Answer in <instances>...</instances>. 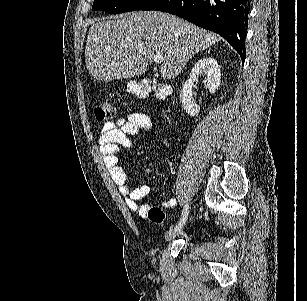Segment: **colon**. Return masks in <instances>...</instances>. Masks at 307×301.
<instances>
[{"mask_svg":"<svg viewBox=\"0 0 307 301\" xmlns=\"http://www.w3.org/2000/svg\"><path fill=\"white\" fill-rule=\"evenodd\" d=\"M126 89L137 100H143L150 92H154L158 98H166L170 95V88L158 80H140L127 84ZM115 114L113 103L109 99L103 100L95 108V116L98 121H107ZM148 219L156 224L163 223L167 216L159 207H150L147 211Z\"/></svg>","mask_w":307,"mask_h":301,"instance_id":"5ec220e1","label":"colon"}]
</instances>
